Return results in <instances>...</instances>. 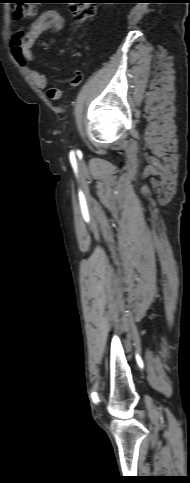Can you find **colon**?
I'll return each mask as SVG.
<instances>
[{
	"label": "colon",
	"instance_id": "1",
	"mask_svg": "<svg viewBox=\"0 0 190 483\" xmlns=\"http://www.w3.org/2000/svg\"><path fill=\"white\" fill-rule=\"evenodd\" d=\"M14 3L13 15L16 18L26 19L35 15L36 0H16ZM71 3L72 14L78 22L83 23L93 18L96 12L93 4L85 0H73Z\"/></svg>",
	"mask_w": 190,
	"mask_h": 483
}]
</instances>
